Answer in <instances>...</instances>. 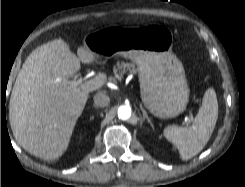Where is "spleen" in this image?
<instances>
[{"label":"spleen","mask_w":245,"mask_h":187,"mask_svg":"<svg viewBox=\"0 0 245 187\" xmlns=\"http://www.w3.org/2000/svg\"><path fill=\"white\" fill-rule=\"evenodd\" d=\"M218 118V101L215 90H206L202 106L190 127L168 126L164 129L165 138L174 144L183 160L197 155L207 144Z\"/></svg>","instance_id":"obj_1"}]
</instances>
